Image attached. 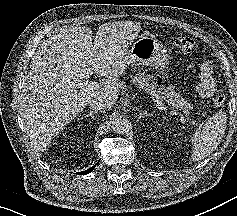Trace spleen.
<instances>
[{
	"label": "spleen",
	"instance_id": "3e777b00",
	"mask_svg": "<svg viewBox=\"0 0 237 216\" xmlns=\"http://www.w3.org/2000/svg\"><path fill=\"white\" fill-rule=\"evenodd\" d=\"M216 140L217 133L214 130H210L208 125H204L195 132L192 138V144L196 152H201L214 145Z\"/></svg>",
	"mask_w": 237,
	"mask_h": 216
}]
</instances>
